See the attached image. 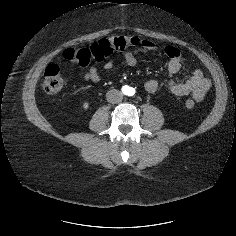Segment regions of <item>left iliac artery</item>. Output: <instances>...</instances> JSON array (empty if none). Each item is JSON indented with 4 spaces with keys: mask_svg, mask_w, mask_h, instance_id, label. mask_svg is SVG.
I'll return each mask as SVG.
<instances>
[{
    "mask_svg": "<svg viewBox=\"0 0 236 236\" xmlns=\"http://www.w3.org/2000/svg\"><path fill=\"white\" fill-rule=\"evenodd\" d=\"M135 94V89L131 88L130 89V95H134Z\"/></svg>",
    "mask_w": 236,
    "mask_h": 236,
    "instance_id": "1",
    "label": "left iliac artery"
}]
</instances>
